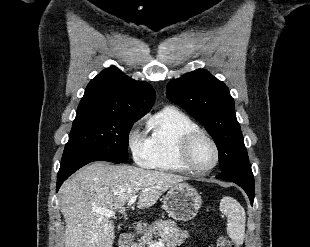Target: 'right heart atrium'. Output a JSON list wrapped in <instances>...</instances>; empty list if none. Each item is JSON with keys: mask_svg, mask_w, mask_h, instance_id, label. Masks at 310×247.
<instances>
[{"mask_svg": "<svg viewBox=\"0 0 310 247\" xmlns=\"http://www.w3.org/2000/svg\"><path fill=\"white\" fill-rule=\"evenodd\" d=\"M127 143L134 160L145 167L151 164L147 141L139 133L137 126H133L128 133Z\"/></svg>", "mask_w": 310, "mask_h": 247, "instance_id": "obj_1", "label": "right heart atrium"}]
</instances>
